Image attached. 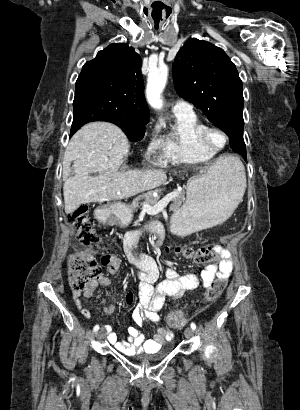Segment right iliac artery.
<instances>
[{"label": "right iliac artery", "mask_w": 300, "mask_h": 410, "mask_svg": "<svg viewBox=\"0 0 300 410\" xmlns=\"http://www.w3.org/2000/svg\"><path fill=\"white\" fill-rule=\"evenodd\" d=\"M98 330H99V325H95L94 328H93V331L96 332Z\"/></svg>", "instance_id": "obj_1"}]
</instances>
